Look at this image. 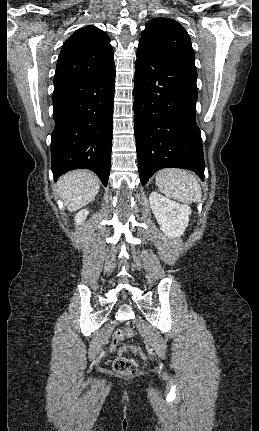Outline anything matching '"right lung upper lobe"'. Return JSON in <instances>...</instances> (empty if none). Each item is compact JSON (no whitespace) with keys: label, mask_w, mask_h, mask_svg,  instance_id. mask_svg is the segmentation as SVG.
I'll list each match as a JSON object with an SVG mask.
<instances>
[{"label":"right lung upper lobe","mask_w":259,"mask_h":431,"mask_svg":"<svg viewBox=\"0 0 259 431\" xmlns=\"http://www.w3.org/2000/svg\"><path fill=\"white\" fill-rule=\"evenodd\" d=\"M114 66L108 35L94 26L82 27L65 41L57 61L54 83L102 73Z\"/></svg>","instance_id":"right-lung-upper-lobe-1"}]
</instances>
